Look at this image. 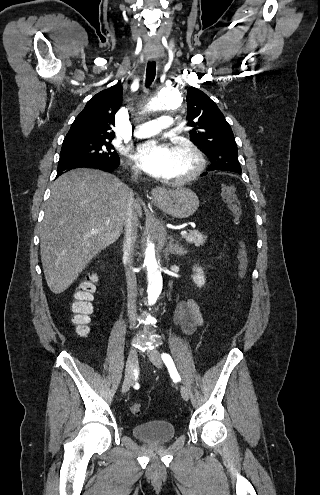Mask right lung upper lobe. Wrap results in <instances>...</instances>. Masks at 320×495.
Masks as SVG:
<instances>
[{"instance_id":"obj_1","label":"right lung upper lobe","mask_w":320,"mask_h":495,"mask_svg":"<svg viewBox=\"0 0 320 495\" xmlns=\"http://www.w3.org/2000/svg\"><path fill=\"white\" fill-rule=\"evenodd\" d=\"M123 88L116 84L94 95L76 117L64 140L104 139L115 136V114L120 109Z\"/></svg>"}]
</instances>
